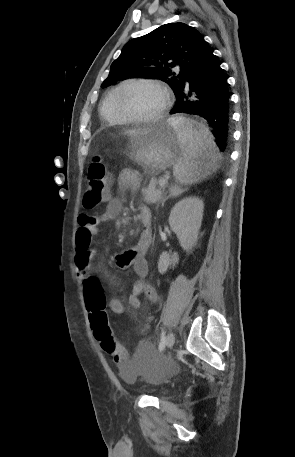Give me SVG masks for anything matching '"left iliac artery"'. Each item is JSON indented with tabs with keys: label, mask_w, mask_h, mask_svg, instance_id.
I'll return each mask as SVG.
<instances>
[{
	"label": "left iliac artery",
	"mask_w": 295,
	"mask_h": 457,
	"mask_svg": "<svg viewBox=\"0 0 295 457\" xmlns=\"http://www.w3.org/2000/svg\"><path fill=\"white\" fill-rule=\"evenodd\" d=\"M165 343H166L165 331L162 330V332H161V340H160V343H159V350H160V351L164 349Z\"/></svg>",
	"instance_id": "44dca946"
}]
</instances>
